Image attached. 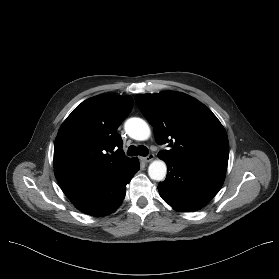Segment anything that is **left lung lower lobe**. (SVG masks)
<instances>
[{"mask_svg":"<svg viewBox=\"0 0 279 279\" xmlns=\"http://www.w3.org/2000/svg\"><path fill=\"white\" fill-rule=\"evenodd\" d=\"M168 174L158 185L160 196L176 211L191 212L205 206L219 191L225 171L185 165L164 159Z\"/></svg>","mask_w":279,"mask_h":279,"instance_id":"left-lung-lower-lobe-1","label":"left lung lower lobe"}]
</instances>
